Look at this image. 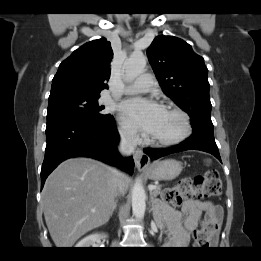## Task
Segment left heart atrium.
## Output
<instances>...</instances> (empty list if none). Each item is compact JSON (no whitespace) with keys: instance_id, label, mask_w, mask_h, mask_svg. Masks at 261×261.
I'll list each match as a JSON object with an SVG mask.
<instances>
[{"instance_id":"1","label":"left heart atrium","mask_w":261,"mask_h":261,"mask_svg":"<svg viewBox=\"0 0 261 261\" xmlns=\"http://www.w3.org/2000/svg\"><path fill=\"white\" fill-rule=\"evenodd\" d=\"M119 111L126 126L152 135L158 127L164 109L154 101L132 98L121 103Z\"/></svg>"}]
</instances>
